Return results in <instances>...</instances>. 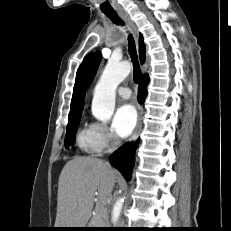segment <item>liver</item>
Listing matches in <instances>:
<instances>
[{
	"label": "liver",
	"mask_w": 231,
	"mask_h": 231,
	"mask_svg": "<svg viewBox=\"0 0 231 231\" xmlns=\"http://www.w3.org/2000/svg\"><path fill=\"white\" fill-rule=\"evenodd\" d=\"M118 172L103 160L75 157L59 176L55 228H84L92 214L95 194L106 202Z\"/></svg>",
	"instance_id": "1"
}]
</instances>
